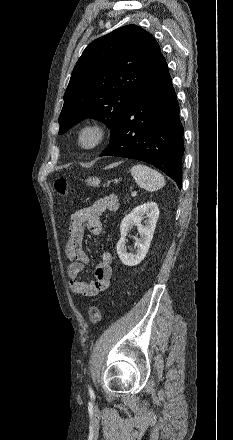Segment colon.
<instances>
[{
  "mask_svg": "<svg viewBox=\"0 0 233 440\" xmlns=\"http://www.w3.org/2000/svg\"><path fill=\"white\" fill-rule=\"evenodd\" d=\"M53 188L55 192L61 196H66L68 194L67 180L63 176H58L53 181ZM102 317V309L100 306H91L88 310V318L91 323H97Z\"/></svg>",
  "mask_w": 233,
  "mask_h": 440,
  "instance_id": "1",
  "label": "colon"
}]
</instances>
